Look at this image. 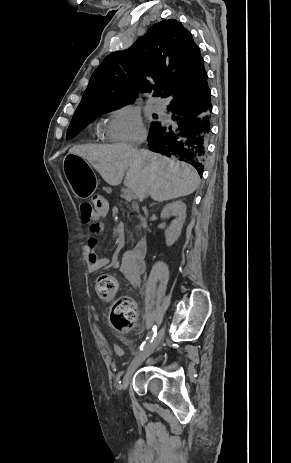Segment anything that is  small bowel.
Here are the masks:
<instances>
[{"instance_id": "small-bowel-1", "label": "small bowel", "mask_w": 291, "mask_h": 463, "mask_svg": "<svg viewBox=\"0 0 291 463\" xmlns=\"http://www.w3.org/2000/svg\"><path fill=\"white\" fill-rule=\"evenodd\" d=\"M107 209V208H106ZM93 215L89 226V235L82 244V257L87 270L91 273L98 272L110 264L106 257H100L96 253L97 235L104 230L102 219ZM145 270L144 257L139 256L134 248L126 251L121 259L119 273L135 288L142 287V274ZM116 356L122 355V350L117 347L114 350Z\"/></svg>"}]
</instances>
